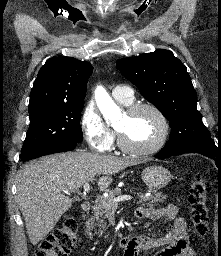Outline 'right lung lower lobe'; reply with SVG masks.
<instances>
[{"label":"right lung lower lobe","mask_w":221,"mask_h":256,"mask_svg":"<svg viewBox=\"0 0 221 256\" xmlns=\"http://www.w3.org/2000/svg\"><path fill=\"white\" fill-rule=\"evenodd\" d=\"M76 145H77L76 142H58V143L50 144L40 148L39 150L31 153L26 157H23L22 161L38 158L48 154L70 151V150H73L76 147Z\"/></svg>","instance_id":"98d812e1"}]
</instances>
